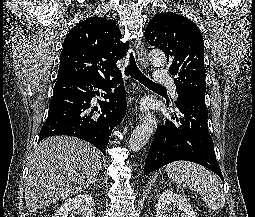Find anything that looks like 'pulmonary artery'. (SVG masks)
Listing matches in <instances>:
<instances>
[{
    "instance_id": "pulmonary-artery-1",
    "label": "pulmonary artery",
    "mask_w": 255,
    "mask_h": 217,
    "mask_svg": "<svg viewBox=\"0 0 255 217\" xmlns=\"http://www.w3.org/2000/svg\"><path fill=\"white\" fill-rule=\"evenodd\" d=\"M155 81L159 85L168 86L171 90L172 96L174 98L176 97V86H175L173 79L169 75L160 73L158 71L155 75Z\"/></svg>"
}]
</instances>
